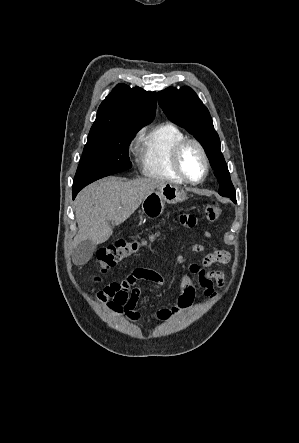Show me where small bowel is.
I'll return each instance as SVG.
<instances>
[{
    "label": "small bowel",
    "mask_w": 299,
    "mask_h": 443,
    "mask_svg": "<svg viewBox=\"0 0 299 443\" xmlns=\"http://www.w3.org/2000/svg\"><path fill=\"white\" fill-rule=\"evenodd\" d=\"M180 221L186 227H194L196 224L193 216H182ZM204 235L211 238L209 231H204ZM190 250L193 253H202L207 251V247L195 243L190 246ZM229 260V252L217 248L208 251L200 263H189L185 256L179 255L176 262L182 268L183 273L180 282L181 293L177 303L170 308L156 311L154 316L157 319L164 320L187 309L195 297L194 279H196L198 286L203 289L206 297H215L217 294L216 288L222 287L225 282V275L222 271L212 270L210 267L216 263L227 264ZM139 280L146 281L150 289H158L164 282L163 276L157 271L137 268L120 282H112L99 291L97 299L105 303L113 313H125L130 319L137 321L141 318L137 305L143 292L141 287L136 286Z\"/></svg>",
    "instance_id": "small-bowel-1"
}]
</instances>
